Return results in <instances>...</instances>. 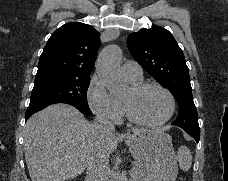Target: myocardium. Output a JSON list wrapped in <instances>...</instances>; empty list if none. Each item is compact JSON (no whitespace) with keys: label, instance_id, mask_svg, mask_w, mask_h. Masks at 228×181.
Returning a JSON list of instances; mask_svg holds the SVG:
<instances>
[{"label":"myocardium","instance_id":"obj_1","mask_svg":"<svg viewBox=\"0 0 228 181\" xmlns=\"http://www.w3.org/2000/svg\"><path fill=\"white\" fill-rule=\"evenodd\" d=\"M150 87L158 89L160 92L163 93V95L167 99V110L163 117H161L158 120H154V121H149V120H145V119L141 118L134 110L133 102H132L131 98H126L125 107H126L128 116L134 123L154 127V126H158V125L165 123L171 117V115L173 113V109H174V101H173L172 95L164 87H162L161 85H159L156 82L134 83L130 87L129 91L132 96H135L138 93H140L141 91H143L144 89L150 88Z\"/></svg>","mask_w":228,"mask_h":181}]
</instances>
